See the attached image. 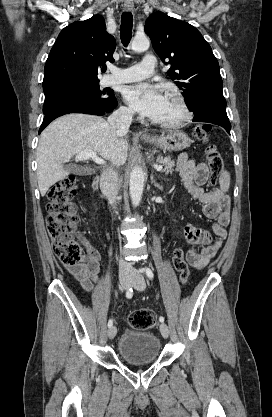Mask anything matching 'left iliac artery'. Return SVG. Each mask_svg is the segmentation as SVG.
I'll use <instances>...</instances> for the list:
<instances>
[{
	"label": "left iliac artery",
	"mask_w": 272,
	"mask_h": 417,
	"mask_svg": "<svg viewBox=\"0 0 272 417\" xmlns=\"http://www.w3.org/2000/svg\"><path fill=\"white\" fill-rule=\"evenodd\" d=\"M144 271H145L146 275L148 276V278L153 279L154 275H153V272H152V270L150 268L146 267L144 269ZM159 321L160 322H164V317L161 316L159 318Z\"/></svg>",
	"instance_id": "44dca946"
}]
</instances>
